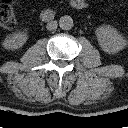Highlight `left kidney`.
I'll return each mask as SVG.
<instances>
[{
  "mask_svg": "<svg viewBox=\"0 0 128 128\" xmlns=\"http://www.w3.org/2000/svg\"><path fill=\"white\" fill-rule=\"evenodd\" d=\"M96 37L102 50L109 54L119 52L128 44V41L110 25L98 27Z\"/></svg>",
  "mask_w": 128,
  "mask_h": 128,
  "instance_id": "obj_1",
  "label": "left kidney"
}]
</instances>
